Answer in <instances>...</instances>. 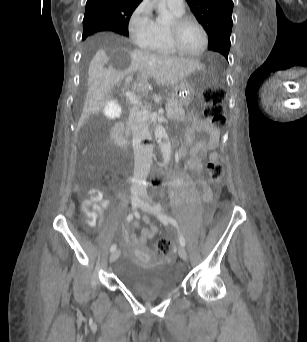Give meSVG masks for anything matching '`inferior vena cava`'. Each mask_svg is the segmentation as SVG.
I'll return each mask as SVG.
<instances>
[{
  "instance_id": "602c4592",
  "label": "inferior vena cava",
  "mask_w": 307,
  "mask_h": 342,
  "mask_svg": "<svg viewBox=\"0 0 307 342\" xmlns=\"http://www.w3.org/2000/svg\"><path fill=\"white\" fill-rule=\"evenodd\" d=\"M129 122L132 130L134 150V174L132 178L131 192H146V178L151 170L153 148L143 146L142 140L147 136L145 124L138 108H132L129 114Z\"/></svg>"
}]
</instances>
